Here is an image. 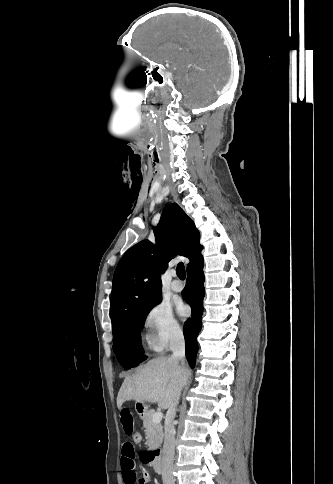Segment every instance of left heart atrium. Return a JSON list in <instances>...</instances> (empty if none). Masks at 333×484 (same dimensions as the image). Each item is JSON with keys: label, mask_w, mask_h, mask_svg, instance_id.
Segmentation results:
<instances>
[{"label": "left heart atrium", "mask_w": 333, "mask_h": 484, "mask_svg": "<svg viewBox=\"0 0 333 484\" xmlns=\"http://www.w3.org/2000/svg\"><path fill=\"white\" fill-rule=\"evenodd\" d=\"M177 311L181 317H186L189 315V307L184 303H179L177 306Z\"/></svg>", "instance_id": "1"}]
</instances>
